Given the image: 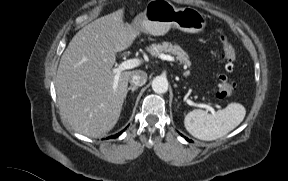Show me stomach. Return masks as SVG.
Wrapping results in <instances>:
<instances>
[{
  "label": "stomach",
  "mask_w": 288,
  "mask_h": 181,
  "mask_svg": "<svg viewBox=\"0 0 288 181\" xmlns=\"http://www.w3.org/2000/svg\"><path fill=\"white\" fill-rule=\"evenodd\" d=\"M205 26L206 19L201 12L191 7L177 9L167 0H150L133 22L136 31L155 36L166 34L171 27L187 33H199Z\"/></svg>",
  "instance_id": "0dacf381"
}]
</instances>
